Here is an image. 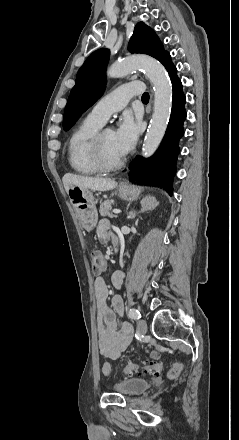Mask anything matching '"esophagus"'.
Instances as JSON below:
<instances>
[{"label": "esophagus", "instance_id": "1", "mask_svg": "<svg viewBox=\"0 0 239 440\" xmlns=\"http://www.w3.org/2000/svg\"><path fill=\"white\" fill-rule=\"evenodd\" d=\"M126 184H127V182L125 180H123L120 185H126Z\"/></svg>", "mask_w": 239, "mask_h": 440}]
</instances>
